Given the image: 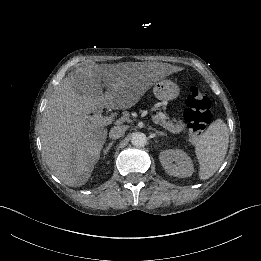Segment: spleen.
<instances>
[{
  "label": "spleen",
  "mask_w": 261,
  "mask_h": 261,
  "mask_svg": "<svg viewBox=\"0 0 261 261\" xmlns=\"http://www.w3.org/2000/svg\"><path fill=\"white\" fill-rule=\"evenodd\" d=\"M228 143L227 125L221 119L211 123L195 146L200 179H209L219 169L227 153Z\"/></svg>",
  "instance_id": "spleen-1"
}]
</instances>
